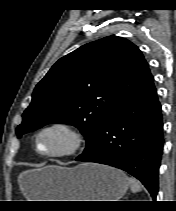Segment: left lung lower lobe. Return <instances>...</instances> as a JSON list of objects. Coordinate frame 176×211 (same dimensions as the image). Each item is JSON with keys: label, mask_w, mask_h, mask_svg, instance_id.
<instances>
[{"label": "left lung lower lobe", "mask_w": 176, "mask_h": 211, "mask_svg": "<svg viewBox=\"0 0 176 211\" xmlns=\"http://www.w3.org/2000/svg\"><path fill=\"white\" fill-rule=\"evenodd\" d=\"M163 142L161 105L152 85L117 108L93 145L76 160L127 171L139 179L155 199Z\"/></svg>", "instance_id": "1"}]
</instances>
